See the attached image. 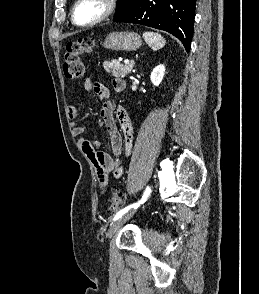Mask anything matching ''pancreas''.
<instances>
[{"label": "pancreas", "instance_id": "1", "mask_svg": "<svg viewBox=\"0 0 259 294\" xmlns=\"http://www.w3.org/2000/svg\"><path fill=\"white\" fill-rule=\"evenodd\" d=\"M103 67L107 73H110L114 77H125L131 73L133 69V63L123 65L117 60L104 61Z\"/></svg>", "mask_w": 259, "mask_h": 294}]
</instances>
